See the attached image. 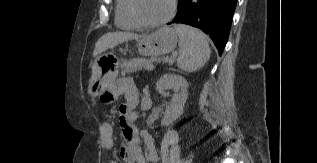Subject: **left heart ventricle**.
<instances>
[{
  "mask_svg": "<svg viewBox=\"0 0 317 163\" xmlns=\"http://www.w3.org/2000/svg\"><path fill=\"white\" fill-rule=\"evenodd\" d=\"M171 0H137L140 16L149 22L163 19L169 12Z\"/></svg>",
  "mask_w": 317,
  "mask_h": 163,
  "instance_id": "b2bd125f",
  "label": "left heart ventricle"
}]
</instances>
